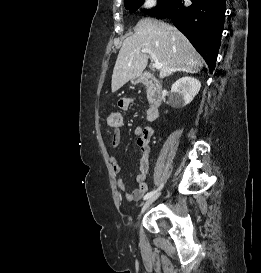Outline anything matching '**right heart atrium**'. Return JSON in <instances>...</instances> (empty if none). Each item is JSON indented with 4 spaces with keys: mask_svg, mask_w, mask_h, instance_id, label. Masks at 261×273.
<instances>
[{
    "mask_svg": "<svg viewBox=\"0 0 261 273\" xmlns=\"http://www.w3.org/2000/svg\"><path fill=\"white\" fill-rule=\"evenodd\" d=\"M156 5V0H143L142 7L145 9H152Z\"/></svg>",
    "mask_w": 261,
    "mask_h": 273,
    "instance_id": "d8ad5b80",
    "label": "right heart atrium"
}]
</instances>
